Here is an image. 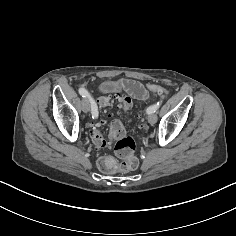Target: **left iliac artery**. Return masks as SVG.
Returning <instances> with one entry per match:
<instances>
[{
	"instance_id": "1",
	"label": "left iliac artery",
	"mask_w": 236,
	"mask_h": 236,
	"mask_svg": "<svg viewBox=\"0 0 236 236\" xmlns=\"http://www.w3.org/2000/svg\"><path fill=\"white\" fill-rule=\"evenodd\" d=\"M162 101L161 102H157V104H154L150 107L147 108V113L148 114H151V113H154L158 110V108L160 107Z\"/></svg>"
}]
</instances>
